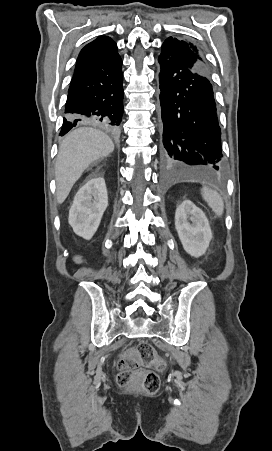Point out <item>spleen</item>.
Masks as SVG:
<instances>
[{
	"mask_svg": "<svg viewBox=\"0 0 272 451\" xmlns=\"http://www.w3.org/2000/svg\"><path fill=\"white\" fill-rule=\"evenodd\" d=\"M202 198L207 202L208 206L212 208L213 212H215L216 216H222L224 210V202L218 194L217 190H212V188H208V186H204L201 190Z\"/></svg>",
	"mask_w": 272,
	"mask_h": 451,
	"instance_id": "1",
	"label": "spleen"
}]
</instances>
